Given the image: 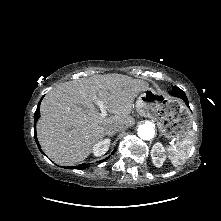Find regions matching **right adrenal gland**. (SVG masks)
<instances>
[{
	"mask_svg": "<svg viewBox=\"0 0 221 221\" xmlns=\"http://www.w3.org/2000/svg\"><path fill=\"white\" fill-rule=\"evenodd\" d=\"M108 137H112L114 135V133H111V134H107Z\"/></svg>",
	"mask_w": 221,
	"mask_h": 221,
	"instance_id": "right-adrenal-gland-1",
	"label": "right adrenal gland"
}]
</instances>
